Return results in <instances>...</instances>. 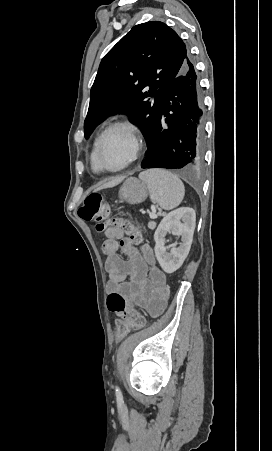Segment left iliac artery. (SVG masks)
<instances>
[{
    "mask_svg": "<svg viewBox=\"0 0 272 451\" xmlns=\"http://www.w3.org/2000/svg\"><path fill=\"white\" fill-rule=\"evenodd\" d=\"M115 392H116L117 400H122L123 396H122L121 390L118 386H116Z\"/></svg>",
    "mask_w": 272,
    "mask_h": 451,
    "instance_id": "left-iliac-artery-1",
    "label": "left iliac artery"
}]
</instances>
